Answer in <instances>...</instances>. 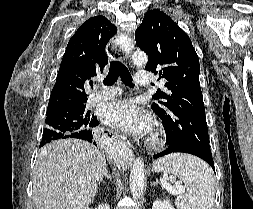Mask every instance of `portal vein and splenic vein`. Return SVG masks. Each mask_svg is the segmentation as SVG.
<instances>
[{
	"mask_svg": "<svg viewBox=\"0 0 253 209\" xmlns=\"http://www.w3.org/2000/svg\"><path fill=\"white\" fill-rule=\"evenodd\" d=\"M161 180V183L163 185V187L166 188V190L172 194V195H176V194H179V193H182L184 192V189L179 187V188H173L170 183L168 182L167 178L163 177L160 179Z\"/></svg>",
	"mask_w": 253,
	"mask_h": 209,
	"instance_id": "18ae733b",
	"label": "portal vein and splenic vein"
}]
</instances>
